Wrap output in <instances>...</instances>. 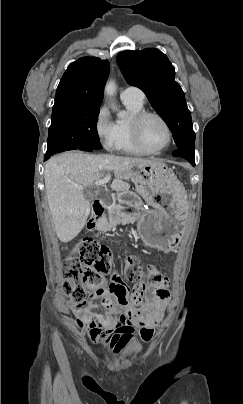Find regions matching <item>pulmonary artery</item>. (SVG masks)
Listing matches in <instances>:
<instances>
[{"label": "pulmonary artery", "instance_id": "pulmonary-artery-1", "mask_svg": "<svg viewBox=\"0 0 243 404\" xmlns=\"http://www.w3.org/2000/svg\"><path fill=\"white\" fill-rule=\"evenodd\" d=\"M136 91L140 92V95H138L136 97L141 99V100H144L145 99L144 93L140 89H138L136 87H133V86H125V87H123L122 90H121V97H126V96H129V95H132Z\"/></svg>", "mask_w": 243, "mask_h": 404}]
</instances>
